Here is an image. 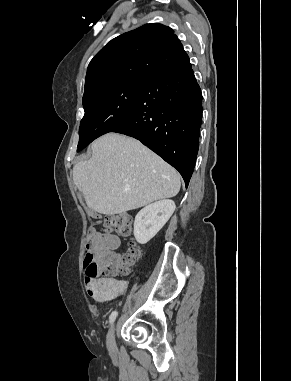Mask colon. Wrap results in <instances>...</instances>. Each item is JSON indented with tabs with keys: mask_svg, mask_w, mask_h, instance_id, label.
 I'll return each mask as SVG.
<instances>
[{
	"mask_svg": "<svg viewBox=\"0 0 291 381\" xmlns=\"http://www.w3.org/2000/svg\"><path fill=\"white\" fill-rule=\"evenodd\" d=\"M96 218L107 231L116 232L122 236H129L132 232L133 221L128 214H114L105 217L96 215ZM139 257L140 251L136 247H132L129 252L123 254L101 251L92 238L88 237L85 246L84 267L87 276L92 278L126 275Z\"/></svg>",
	"mask_w": 291,
	"mask_h": 381,
	"instance_id": "colon-1",
	"label": "colon"
}]
</instances>
